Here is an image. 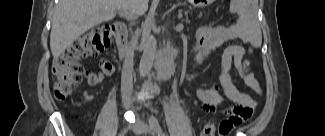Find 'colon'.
Returning a JSON list of instances; mask_svg holds the SVG:
<instances>
[{
    "label": "colon",
    "mask_w": 325,
    "mask_h": 136,
    "mask_svg": "<svg viewBox=\"0 0 325 136\" xmlns=\"http://www.w3.org/2000/svg\"><path fill=\"white\" fill-rule=\"evenodd\" d=\"M115 34L114 26H102L81 35L69 46L52 65L54 76V92L58 99L67 97L84 76L81 60L85 57L95 56L108 48ZM249 61L243 63L247 68ZM215 123L208 122L203 127L200 136H214Z\"/></svg>",
    "instance_id": "obj_1"
}]
</instances>
